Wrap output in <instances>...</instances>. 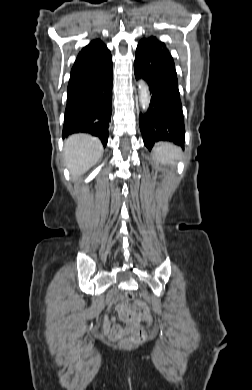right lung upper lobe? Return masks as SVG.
<instances>
[{"instance_id":"right-lung-upper-lobe-1","label":"right lung upper lobe","mask_w":252,"mask_h":390,"mask_svg":"<svg viewBox=\"0 0 252 390\" xmlns=\"http://www.w3.org/2000/svg\"><path fill=\"white\" fill-rule=\"evenodd\" d=\"M112 66L110 51L98 39L85 46L77 56L69 83L103 74Z\"/></svg>"}]
</instances>
